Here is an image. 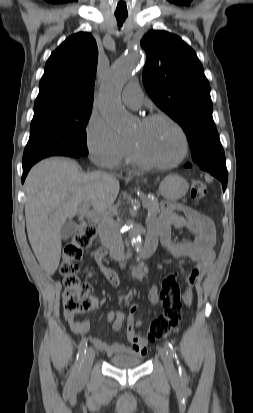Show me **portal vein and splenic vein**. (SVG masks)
<instances>
[{
    "label": "portal vein and splenic vein",
    "mask_w": 253,
    "mask_h": 413,
    "mask_svg": "<svg viewBox=\"0 0 253 413\" xmlns=\"http://www.w3.org/2000/svg\"><path fill=\"white\" fill-rule=\"evenodd\" d=\"M147 206H148V204L143 202V207L147 208ZM89 208H90V203L86 202L79 208V213L81 215L86 216V217H91L92 214L90 213Z\"/></svg>",
    "instance_id": "18ae733b"
}]
</instances>
